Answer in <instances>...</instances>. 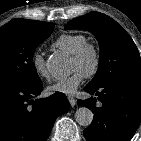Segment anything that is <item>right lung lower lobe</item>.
I'll list each match as a JSON object with an SVG mask.
<instances>
[{
    "label": "right lung lower lobe",
    "mask_w": 141,
    "mask_h": 141,
    "mask_svg": "<svg viewBox=\"0 0 141 141\" xmlns=\"http://www.w3.org/2000/svg\"><path fill=\"white\" fill-rule=\"evenodd\" d=\"M42 83L0 84V141H46L55 119L67 112L63 93L36 99Z\"/></svg>",
    "instance_id": "obj_1"
}]
</instances>
